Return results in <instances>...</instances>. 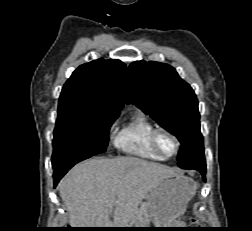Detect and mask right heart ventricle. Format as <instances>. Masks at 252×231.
I'll list each match as a JSON object with an SVG mask.
<instances>
[{
  "mask_svg": "<svg viewBox=\"0 0 252 231\" xmlns=\"http://www.w3.org/2000/svg\"><path fill=\"white\" fill-rule=\"evenodd\" d=\"M157 128L144 113L137 112L121 126L115 136L114 144L121 152L141 159L164 160L152 148L151 135Z\"/></svg>",
  "mask_w": 252,
  "mask_h": 231,
  "instance_id": "1",
  "label": "right heart ventricle"
}]
</instances>
